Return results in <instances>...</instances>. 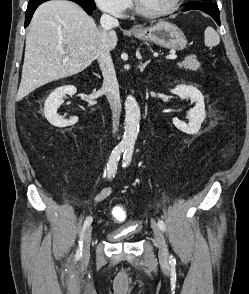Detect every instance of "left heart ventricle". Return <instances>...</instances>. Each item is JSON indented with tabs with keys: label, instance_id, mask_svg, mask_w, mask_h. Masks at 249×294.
<instances>
[{
	"label": "left heart ventricle",
	"instance_id": "1",
	"mask_svg": "<svg viewBox=\"0 0 249 294\" xmlns=\"http://www.w3.org/2000/svg\"><path fill=\"white\" fill-rule=\"evenodd\" d=\"M140 2L146 9L160 11L171 7L175 0H140Z\"/></svg>",
	"mask_w": 249,
	"mask_h": 294
}]
</instances>
